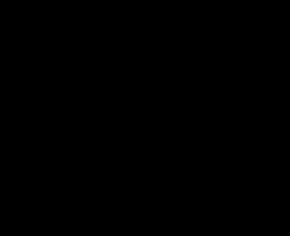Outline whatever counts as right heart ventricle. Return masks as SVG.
<instances>
[{"label":"right heart ventricle","mask_w":290,"mask_h":236,"mask_svg":"<svg viewBox=\"0 0 290 236\" xmlns=\"http://www.w3.org/2000/svg\"><path fill=\"white\" fill-rule=\"evenodd\" d=\"M175 59L163 58L151 63L139 76L140 86L146 90H152L166 76L174 66Z\"/></svg>","instance_id":"right-heart-ventricle-1"}]
</instances>
